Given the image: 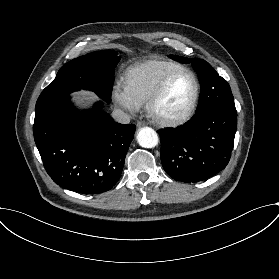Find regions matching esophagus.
<instances>
[{
  "label": "esophagus",
  "instance_id": "obj_1",
  "mask_svg": "<svg viewBox=\"0 0 279 279\" xmlns=\"http://www.w3.org/2000/svg\"><path fill=\"white\" fill-rule=\"evenodd\" d=\"M144 126H145L144 122H142V121L137 122V128H141V127H144Z\"/></svg>",
  "mask_w": 279,
  "mask_h": 279
}]
</instances>
